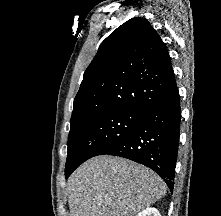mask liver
<instances>
[{"label": "liver", "mask_w": 221, "mask_h": 216, "mask_svg": "<svg viewBox=\"0 0 221 216\" xmlns=\"http://www.w3.org/2000/svg\"><path fill=\"white\" fill-rule=\"evenodd\" d=\"M166 189L164 181L141 164L94 157L68 179L70 216H134L164 197Z\"/></svg>", "instance_id": "liver-1"}]
</instances>
